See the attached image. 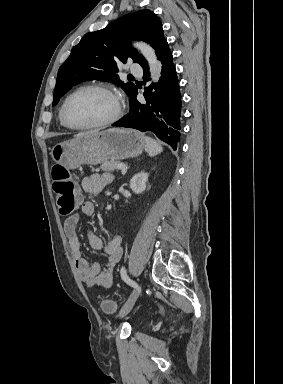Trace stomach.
Segmentation results:
<instances>
[{
    "label": "stomach",
    "instance_id": "0dacf381",
    "mask_svg": "<svg viewBox=\"0 0 283 384\" xmlns=\"http://www.w3.org/2000/svg\"><path fill=\"white\" fill-rule=\"evenodd\" d=\"M145 148L146 142L140 132L109 128L90 136L56 144L51 150V158L68 170H75L82 164L96 166L107 160L119 162L125 158H136Z\"/></svg>",
    "mask_w": 283,
    "mask_h": 384
}]
</instances>
